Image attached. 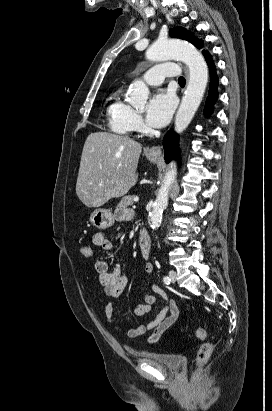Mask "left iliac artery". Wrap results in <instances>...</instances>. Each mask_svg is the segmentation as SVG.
Wrapping results in <instances>:
<instances>
[{
	"label": "left iliac artery",
	"instance_id": "obj_1",
	"mask_svg": "<svg viewBox=\"0 0 272 411\" xmlns=\"http://www.w3.org/2000/svg\"><path fill=\"white\" fill-rule=\"evenodd\" d=\"M163 282H164L165 284H170L171 279H170L168 276H165V277L163 278Z\"/></svg>",
	"mask_w": 272,
	"mask_h": 411
}]
</instances>
